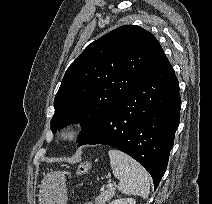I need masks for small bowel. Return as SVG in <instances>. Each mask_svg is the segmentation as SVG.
<instances>
[{
  "mask_svg": "<svg viewBox=\"0 0 212 204\" xmlns=\"http://www.w3.org/2000/svg\"><path fill=\"white\" fill-rule=\"evenodd\" d=\"M85 204H93V203L88 202V203H85Z\"/></svg>",
  "mask_w": 212,
  "mask_h": 204,
  "instance_id": "1",
  "label": "small bowel"
}]
</instances>
